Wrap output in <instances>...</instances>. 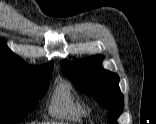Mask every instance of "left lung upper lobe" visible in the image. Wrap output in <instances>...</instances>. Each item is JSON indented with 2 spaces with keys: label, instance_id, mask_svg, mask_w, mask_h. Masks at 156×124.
Instances as JSON below:
<instances>
[{
  "label": "left lung upper lobe",
  "instance_id": "obj_1",
  "mask_svg": "<svg viewBox=\"0 0 156 124\" xmlns=\"http://www.w3.org/2000/svg\"><path fill=\"white\" fill-rule=\"evenodd\" d=\"M103 56H93L83 61L61 62L64 74L83 93L93 96L106 107L110 124H118L117 118L124 108V96L121 93L117 74L104 70L101 66Z\"/></svg>",
  "mask_w": 156,
  "mask_h": 124
}]
</instances>
